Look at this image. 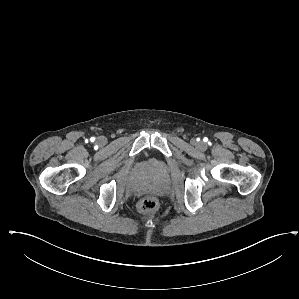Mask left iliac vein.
Here are the masks:
<instances>
[{"instance_id": "4c4485c4", "label": "left iliac vein", "mask_w": 299, "mask_h": 299, "mask_svg": "<svg viewBox=\"0 0 299 299\" xmlns=\"http://www.w3.org/2000/svg\"><path fill=\"white\" fill-rule=\"evenodd\" d=\"M199 146L202 148V147H204V144H203V143H200Z\"/></svg>"}]
</instances>
